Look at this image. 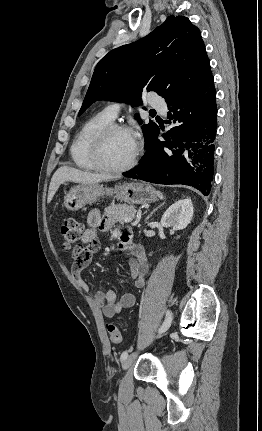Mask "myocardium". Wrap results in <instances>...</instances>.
Instances as JSON below:
<instances>
[{
  "mask_svg": "<svg viewBox=\"0 0 262 431\" xmlns=\"http://www.w3.org/2000/svg\"><path fill=\"white\" fill-rule=\"evenodd\" d=\"M115 132H128L132 134V130L130 127L123 124L111 123L102 128L95 135L91 150V157L97 168L101 171L112 174L123 173L133 168L136 165L141 153V147L137 144L134 154L126 164L119 167L109 165L104 157V147L108 137Z\"/></svg>",
  "mask_w": 262,
  "mask_h": 431,
  "instance_id": "f54148a6",
  "label": "myocardium"
}]
</instances>
